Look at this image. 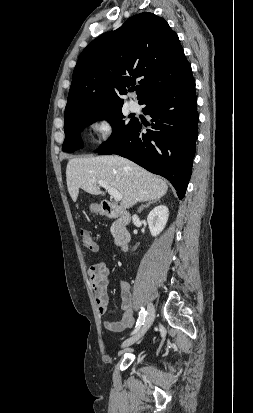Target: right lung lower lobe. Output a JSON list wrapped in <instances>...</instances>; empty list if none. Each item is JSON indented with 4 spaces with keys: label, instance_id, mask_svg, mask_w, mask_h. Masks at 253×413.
<instances>
[{
    "label": "right lung lower lobe",
    "instance_id": "right-lung-lower-lobe-1",
    "mask_svg": "<svg viewBox=\"0 0 253 413\" xmlns=\"http://www.w3.org/2000/svg\"><path fill=\"white\" fill-rule=\"evenodd\" d=\"M140 104L152 123L146 133L134 124L115 142L98 151L99 155L117 154L148 171L167 178L180 199L192 171L198 137L195 81L189 70L184 78L166 89L152 93Z\"/></svg>",
    "mask_w": 253,
    "mask_h": 413
}]
</instances>
